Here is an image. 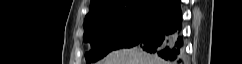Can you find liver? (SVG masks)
<instances>
[{"label": "liver", "mask_w": 242, "mask_h": 64, "mask_svg": "<svg viewBox=\"0 0 242 64\" xmlns=\"http://www.w3.org/2000/svg\"><path fill=\"white\" fill-rule=\"evenodd\" d=\"M163 60L135 47L111 52L98 64H162Z\"/></svg>", "instance_id": "6515ba94"}]
</instances>
